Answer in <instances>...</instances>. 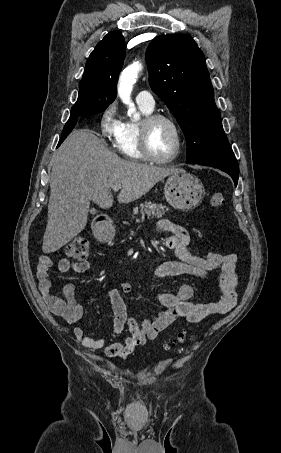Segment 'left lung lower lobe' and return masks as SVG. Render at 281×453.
Wrapping results in <instances>:
<instances>
[{
	"mask_svg": "<svg viewBox=\"0 0 281 453\" xmlns=\"http://www.w3.org/2000/svg\"><path fill=\"white\" fill-rule=\"evenodd\" d=\"M192 164L206 165V166H212V167L218 168V169L228 173L232 177V179L235 183V186L238 183L239 166H238V162L235 157L211 159V160L199 161V162L192 163Z\"/></svg>",
	"mask_w": 281,
	"mask_h": 453,
	"instance_id": "left-lung-lower-lobe-1",
	"label": "left lung lower lobe"
}]
</instances>
